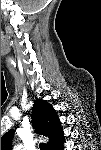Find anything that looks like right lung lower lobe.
Returning a JSON list of instances; mask_svg holds the SVG:
<instances>
[{"label": "right lung lower lobe", "mask_w": 101, "mask_h": 150, "mask_svg": "<svg viewBox=\"0 0 101 150\" xmlns=\"http://www.w3.org/2000/svg\"><path fill=\"white\" fill-rule=\"evenodd\" d=\"M64 147H63V142H62V144L58 147V149L57 150H62Z\"/></svg>", "instance_id": "1"}]
</instances>
